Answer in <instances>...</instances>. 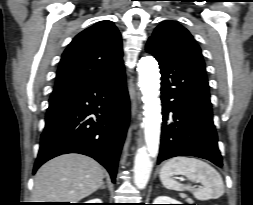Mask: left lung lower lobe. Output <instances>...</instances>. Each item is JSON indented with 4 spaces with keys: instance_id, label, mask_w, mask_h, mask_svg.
I'll return each instance as SVG.
<instances>
[{
    "instance_id": "1",
    "label": "left lung lower lobe",
    "mask_w": 253,
    "mask_h": 205,
    "mask_svg": "<svg viewBox=\"0 0 253 205\" xmlns=\"http://www.w3.org/2000/svg\"><path fill=\"white\" fill-rule=\"evenodd\" d=\"M146 51L161 72L162 132L158 163L175 156H196L221 167L205 72L192 61L154 42Z\"/></svg>"
}]
</instances>
